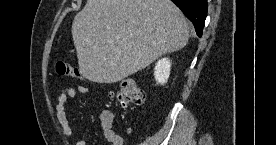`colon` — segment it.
Returning <instances> with one entry per match:
<instances>
[{"instance_id": "5ec220e1", "label": "colon", "mask_w": 276, "mask_h": 145, "mask_svg": "<svg viewBox=\"0 0 276 145\" xmlns=\"http://www.w3.org/2000/svg\"><path fill=\"white\" fill-rule=\"evenodd\" d=\"M56 70L62 76L80 77L79 71L65 60L57 62ZM113 95L123 105H141L145 100L144 91L130 78H123Z\"/></svg>"}]
</instances>
